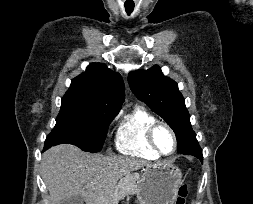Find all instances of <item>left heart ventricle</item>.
<instances>
[{
	"label": "left heart ventricle",
	"mask_w": 253,
	"mask_h": 204,
	"mask_svg": "<svg viewBox=\"0 0 253 204\" xmlns=\"http://www.w3.org/2000/svg\"><path fill=\"white\" fill-rule=\"evenodd\" d=\"M155 141L162 152L168 154L173 149V139L165 127H158L155 131Z\"/></svg>",
	"instance_id": "obj_1"
}]
</instances>
